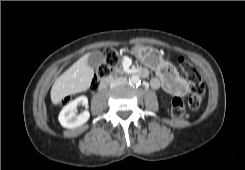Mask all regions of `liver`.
<instances>
[{
  "label": "liver",
  "mask_w": 245,
  "mask_h": 170,
  "mask_svg": "<svg viewBox=\"0 0 245 170\" xmlns=\"http://www.w3.org/2000/svg\"><path fill=\"white\" fill-rule=\"evenodd\" d=\"M89 53L78 59L59 76L51 89V101L58 104L66 96L86 91L94 76V70L87 64Z\"/></svg>",
  "instance_id": "liver-1"
}]
</instances>
